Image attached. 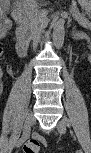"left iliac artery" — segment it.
Listing matches in <instances>:
<instances>
[{
    "instance_id": "44dca946",
    "label": "left iliac artery",
    "mask_w": 91,
    "mask_h": 153,
    "mask_svg": "<svg viewBox=\"0 0 91 153\" xmlns=\"http://www.w3.org/2000/svg\"><path fill=\"white\" fill-rule=\"evenodd\" d=\"M64 120H65L66 125L68 127H70L71 126V121L68 118H65ZM70 135H73V132H70ZM77 153H84V151L78 150Z\"/></svg>"
}]
</instances>
